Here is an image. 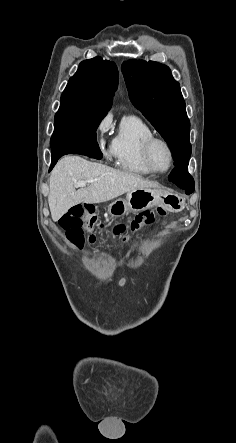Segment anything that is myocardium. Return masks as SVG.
Instances as JSON below:
<instances>
[{
    "instance_id": "1",
    "label": "myocardium",
    "mask_w": 236,
    "mask_h": 443,
    "mask_svg": "<svg viewBox=\"0 0 236 443\" xmlns=\"http://www.w3.org/2000/svg\"><path fill=\"white\" fill-rule=\"evenodd\" d=\"M162 144L163 146H165V148L167 149L168 153H169V165L165 170H159L155 167L153 160H152V150L153 147L156 144ZM142 155H143V160L144 163L146 164V166L149 168V170L152 173H156V174H164L167 173L168 171H170V169L172 168L173 164H174V151L172 146L170 145V143L161 138V137H157V136H152L150 138H148L142 147Z\"/></svg>"
}]
</instances>
